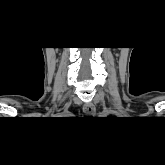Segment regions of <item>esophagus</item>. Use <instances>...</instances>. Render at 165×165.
Instances as JSON below:
<instances>
[{"label":"esophagus","mask_w":165,"mask_h":165,"mask_svg":"<svg viewBox=\"0 0 165 165\" xmlns=\"http://www.w3.org/2000/svg\"><path fill=\"white\" fill-rule=\"evenodd\" d=\"M95 106L92 103H86L83 106V112L88 115L91 116L95 113Z\"/></svg>","instance_id":"esophagus-1"}]
</instances>
